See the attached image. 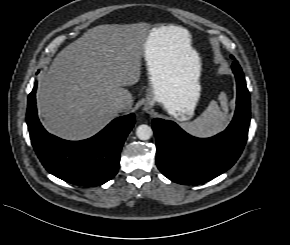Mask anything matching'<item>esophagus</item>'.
Instances as JSON below:
<instances>
[{"label": "esophagus", "instance_id": "34e87169", "mask_svg": "<svg viewBox=\"0 0 290 245\" xmlns=\"http://www.w3.org/2000/svg\"><path fill=\"white\" fill-rule=\"evenodd\" d=\"M149 109H150L149 106H147V105L144 106V110H145V111H148Z\"/></svg>", "mask_w": 290, "mask_h": 245}]
</instances>
